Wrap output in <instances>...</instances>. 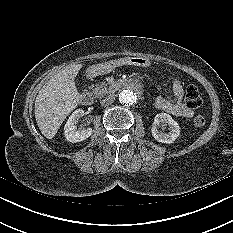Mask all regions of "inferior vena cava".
<instances>
[{
  "label": "inferior vena cava",
  "instance_id": "1",
  "mask_svg": "<svg viewBox=\"0 0 233 233\" xmlns=\"http://www.w3.org/2000/svg\"><path fill=\"white\" fill-rule=\"evenodd\" d=\"M115 100V96L114 95H110L108 97H106L105 99H103L100 103L102 106H108L110 104H112Z\"/></svg>",
  "mask_w": 233,
  "mask_h": 233
}]
</instances>
